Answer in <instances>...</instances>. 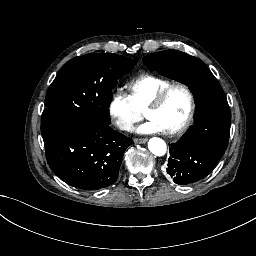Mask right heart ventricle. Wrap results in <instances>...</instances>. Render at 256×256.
I'll return each instance as SVG.
<instances>
[{"mask_svg": "<svg viewBox=\"0 0 256 256\" xmlns=\"http://www.w3.org/2000/svg\"><path fill=\"white\" fill-rule=\"evenodd\" d=\"M142 80H145V83L134 88L133 98L137 101L139 110H146L169 85L167 83L148 82L147 78Z\"/></svg>", "mask_w": 256, "mask_h": 256, "instance_id": "1", "label": "right heart ventricle"}]
</instances>
